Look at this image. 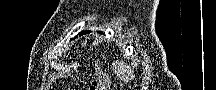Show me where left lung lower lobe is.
Instances as JSON below:
<instances>
[{
	"label": "left lung lower lobe",
	"instance_id": "1",
	"mask_svg": "<svg viewBox=\"0 0 216 90\" xmlns=\"http://www.w3.org/2000/svg\"><path fill=\"white\" fill-rule=\"evenodd\" d=\"M84 33H87V31H86V32H82V33H80L79 35H83Z\"/></svg>",
	"mask_w": 216,
	"mask_h": 90
}]
</instances>
